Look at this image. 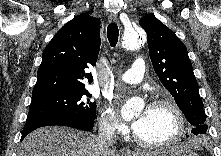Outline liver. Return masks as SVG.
I'll use <instances>...</instances> for the list:
<instances>
[{"mask_svg": "<svg viewBox=\"0 0 221 156\" xmlns=\"http://www.w3.org/2000/svg\"><path fill=\"white\" fill-rule=\"evenodd\" d=\"M19 156H118L102 150L90 133L65 127L40 128L20 144Z\"/></svg>", "mask_w": 221, "mask_h": 156, "instance_id": "liver-1", "label": "liver"}]
</instances>
